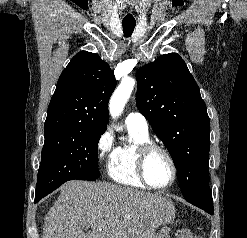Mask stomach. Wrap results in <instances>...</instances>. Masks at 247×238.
<instances>
[{
	"label": "stomach",
	"mask_w": 247,
	"mask_h": 238,
	"mask_svg": "<svg viewBox=\"0 0 247 238\" xmlns=\"http://www.w3.org/2000/svg\"><path fill=\"white\" fill-rule=\"evenodd\" d=\"M170 229L167 226L161 228V230L154 236V238H170L169 237Z\"/></svg>",
	"instance_id": "obj_1"
}]
</instances>
